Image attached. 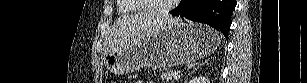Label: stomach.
<instances>
[{"label":"stomach","instance_id":"obj_1","mask_svg":"<svg viewBox=\"0 0 307 83\" xmlns=\"http://www.w3.org/2000/svg\"><path fill=\"white\" fill-rule=\"evenodd\" d=\"M219 34L200 24L177 22L166 25L125 48L105 53L106 68L125 75L144 67L165 69L187 64L212 53L220 43Z\"/></svg>","mask_w":307,"mask_h":83}]
</instances>
